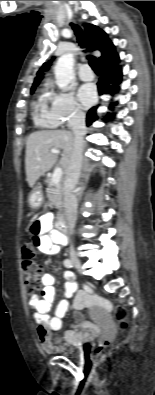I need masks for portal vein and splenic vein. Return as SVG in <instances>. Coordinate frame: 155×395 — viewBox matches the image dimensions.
Wrapping results in <instances>:
<instances>
[{
	"label": "portal vein and splenic vein",
	"mask_w": 155,
	"mask_h": 395,
	"mask_svg": "<svg viewBox=\"0 0 155 395\" xmlns=\"http://www.w3.org/2000/svg\"><path fill=\"white\" fill-rule=\"evenodd\" d=\"M50 152L51 153H56V154L60 153V151L58 149H55V148L51 149ZM62 174H63L62 169L61 168H56L54 170V172H53V175H52V182L54 184H58L60 182V180H61Z\"/></svg>",
	"instance_id": "obj_1"
}]
</instances>
